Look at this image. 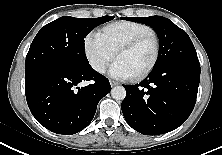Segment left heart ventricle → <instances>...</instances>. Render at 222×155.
I'll return each mask as SVG.
<instances>
[{
    "label": "left heart ventricle",
    "instance_id": "left-heart-ventricle-1",
    "mask_svg": "<svg viewBox=\"0 0 222 155\" xmlns=\"http://www.w3.org/2000/svg\"><path fill=\"white\" fill-rule=\"evenodd\" d=\"M154 55V40L148 39L133 50L121 53L117 59L121 60L134 76L141 73L151 64Z\"/></svg>",
    "mask_w": 222,
    "mask_h": 155
}]
</instances>
